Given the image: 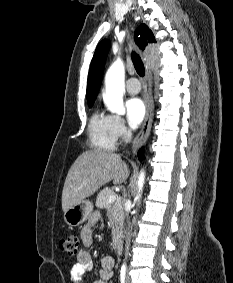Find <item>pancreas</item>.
Listing matches in <instances>:
<instances>
[{
  "label": "pancreas",
  "instance_id": "cf45deb5",
  "mask_svg": "<svg viewBox=\"0 0 233 283\" xmlns=\"http://www.w3.org/2000/svg\"><path fill=\"white\" fill-rule=\"evenodd\" d=\"M111 195H116L113 190L106 187L102 189L96 198V206L99 208H106L108 214L110 215L112 224L114 226V235L117 236L122 232V222H123V206L120 200L113 203L109 202V197Z\"/></svg>",
  "mask_w": 233,
  "mask_h": 283
}]
</instances>
